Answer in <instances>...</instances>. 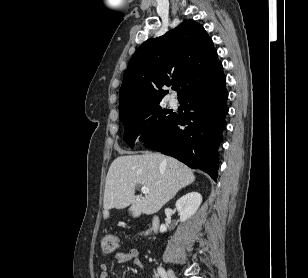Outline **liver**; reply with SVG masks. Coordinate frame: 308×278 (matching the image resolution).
Listing matches in <instances>:
<instances>
[{"label":"liver","mask_w":308,"mask_h":278,"mask_svg":"<svg viewBox=\"0 0 308 278\" xmlns=\"http://www.w3.org/2000/svg\"><path fill=\"white\" fill-rule=\"evenodd\" d=\"M193 171L177 159L160 153L117 157L110 165L103 199V217L112 208L131 205L133 217L158 212L179 190L193 183ZM137 185L149 188L145 196H136Z\"/></svg>","instance_id":"1"}]
</instances>
